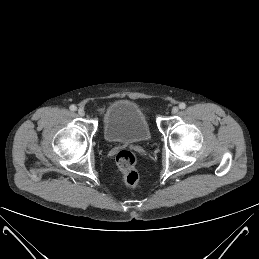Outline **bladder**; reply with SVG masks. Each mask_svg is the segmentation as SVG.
I'll list each match as a JSON object with an SVG mask.
<instances>
[{
	"label": "bladder",
	"instance_id": "bladder-1",
	"mask_svg": "<svg viewBox=\"0 0 259 259\" xmlns=\"http://www.w3.org/2000/svg\"><path fill=\"white\" fill-rule=\"evenodd\" d=\"M103 135L109 143H143L150 140L151 131L144 113L136 103L117 100L104 113Z\"/></svg>",
	"mask_w": 259,
	"mask_h": 259
}]
</instances>
